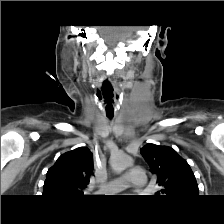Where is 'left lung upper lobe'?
<instances>
[{
  "label": "left lung upper lobe",
  "instance_id": "1",
  "mask_svg": "<svg viewBox=\"0 0 224 224\" xmlns=\"http://www.w3.org/2000/svg\"><path fill=\"white\" fill-rule=\"evenodd\" d=\"M140 153L157 175L161 186L158 193L168 198L199 196L198 185L189 164L173 148L152 143L141 148Z\"/></svg>",
  "mask_w": 224,
  "mask_h": 224
}]
</instances>
